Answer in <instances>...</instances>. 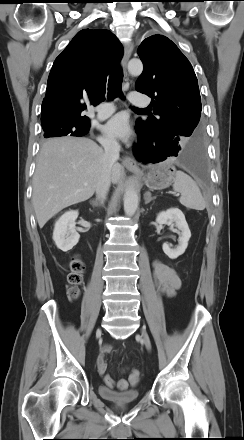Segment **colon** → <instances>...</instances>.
I'll list each match as a JSON object with an SVG mask.
<instances>
[{"instance_id":"1","label":"colon","mask_w":244,"mask_h":440,"mask_svg":"<svg viewBox=\"0 0 244 440\" xmlns=\"http://www.w3.org/2000/svg\"><path fill=\"white\" fill-rule=\"evenodd\" d=\"M84 263L79 258H73L68 264L67 282L69 284L68 294L71 298L78 296V286L83 280ZM130 383L135 386L139 382V372L133 370L130 377ZM104 383L106 386L113 388L117 387L119 390H126L128 388V381L125 379H119L115 381L109 374L104 376Z\"/></svg>"}]
</instances>
